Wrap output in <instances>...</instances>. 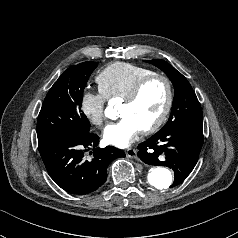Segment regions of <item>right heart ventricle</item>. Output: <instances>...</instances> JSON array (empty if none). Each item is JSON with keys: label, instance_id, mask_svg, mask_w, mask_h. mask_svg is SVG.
Listing matches in <instances>:
<instances>
[{"label": "right heart ventricle", "instance_id": "1", "mask_svg": "<svg viewBox=\"0 0 238 238\" xmlns=\"http://www.w3.org/2000/svg\"><path fill=\"white\" fill-rule=\"evenodd\" d=\"M152 74L155 72L149 68L116 62L101 70L96 76V82L108 99L124 100L141 79Z\"/></svg>", "mask_w": 238, "mask_h": 238}]
</instances>
